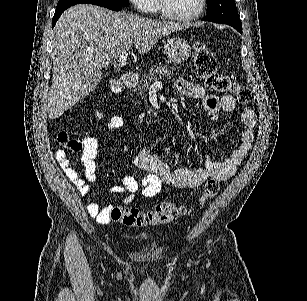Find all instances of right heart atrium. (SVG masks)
Here are the masks:
<instances>
[{"label": "right heart atrium", "instance_id": "d8ad5b80", "mask_svg": "<svg viewBox=\"0 0 307 301\" xmlns=\"http://www.w3.org/2000/svg\"><path fill=\"white\" fill-rule=\"evenodd\" d=\"M138 11H154L155 6L151 0H133Z\"/></svg>", "mask_w": 307, "mask_h": 301}]
</instances>
